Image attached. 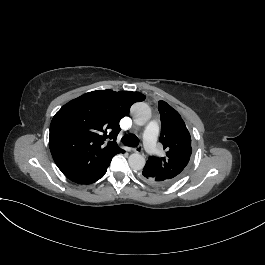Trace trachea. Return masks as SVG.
I'll return each instance as SVG.
<instances>
[{
    "instance_id": "trachea-1",
    "label": "trachea",
    "mask_w": 265,
    "mask_h": 265,
    "mask_svg": "<svg viewBox=\"0 0 265 265\" xmlns=\"http://www.w3.org/2000/svg\"><path fill=\"white\" fill-rule=\"evenodd\" d=\"M122 143L126 146L136 147L139 144V139L134 135H125L122 137Z\"/></svg>"
}]
</instances>
